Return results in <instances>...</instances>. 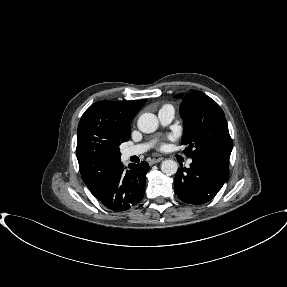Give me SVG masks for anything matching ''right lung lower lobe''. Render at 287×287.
Wrapping results in <instances>:
<instances>
[{
	"label": "right lung lower lobe",
	"mask_w": 287,
	"mask_h": 287,
	"mask_svg": "<svg viewBox=\"0 0 287 287\" xmlns=\"http://www.w3.org/2000/svg\"><path fill=\"white\" fill-rule=\"evenodd\" d=\"M149 164H130L126 170L122 163L106 170L91 193L108 209L121 212L138 204L145 191Z\"/></svg>",
	"instance_id": "98d812e1"
}]
</instances>
